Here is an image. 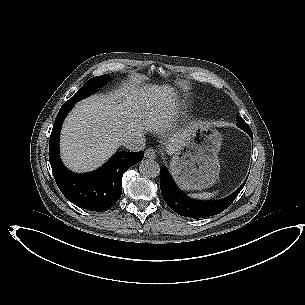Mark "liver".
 Segmentation results:
<instances>
[{"instance_id":"6515ba94","label":"liver","mask_w":305,"mask_h":305,"mask_svg":"<svg viewBox=\"0 0 305 305\" xmlns=\"http://www.w3.org/2000/svg\"><path fill=\"white\" fill-rule=\"evenodd\" d=\"M176 113L153 110L137 88L115 94L93 95L78 102L66 117L60 136L63 163L73 172L84 173L103 165L126 138L146 131L166 134V148L176 153L192 127L176 130Z\"/></svg>"}]
</instances>
